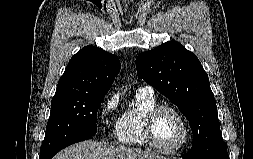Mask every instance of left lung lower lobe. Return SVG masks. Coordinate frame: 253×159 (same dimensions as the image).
Instances as JSON below:
<instances>
[{
    "label": "left lung lower lobe",
    "mask_w": 253,
    "mask_h": 159,
    "mask_svg": "<svg viewBox=\"0 0 253 159\" xmlns=\"http://www.w3.org/2000/svg\"><path fill=\"white\" fill-rule=\"evenodd\" d=\"M184 159H198V157L190 150L182 156ZM203 159H229L226 145L224 142L218 144L211 155Z\"/></svg>",
    "instance_id": "left-lung-lower-lobe-1"
}]
</instances>
